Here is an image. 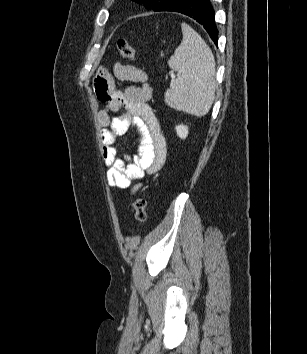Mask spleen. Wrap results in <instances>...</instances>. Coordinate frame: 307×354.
<instances>
[{"label":"spleen","mask_w":307,"mask_h":354,"mask_svg":"<svg viewBox=\"0 0 307 354\" xmlns=\"http://www.w3.org/2000/svg\"><path fill=\"white\" fill-rule=\"evenodd\" d=\"M183 39L168 61L178 72L165 92V103L173 109L198 117L206 115L215 99V59L201 36L182 24Z\"/></svg>","instance_id":"spleen-1"}]
</instances>
